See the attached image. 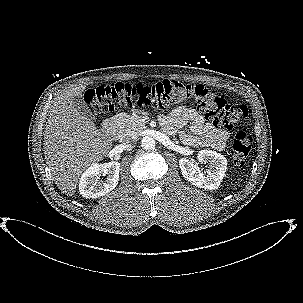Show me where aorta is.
Segmentation results:
<instances>
[{
	"label": "aorta",
	"instance_id": "obj_1",
	"mask_svg": "<svg viewBox=\"0 0 303 303\" xmlns=\"http://www.w3.org/2000/svg\"><path fill=\"white\" fill-rule=\"evenodd\" d=\"M141 146L145 150H152L156 146V142L153 137L144 136L141 140Z\"/></svg>",
	"mask_w": 303,
	"mask_h": 303
}]
</instances>
